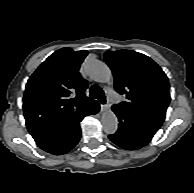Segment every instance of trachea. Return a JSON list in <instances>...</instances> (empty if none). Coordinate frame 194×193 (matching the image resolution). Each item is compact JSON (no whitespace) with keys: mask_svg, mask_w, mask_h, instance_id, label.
I'll return each instance as SVG.
<instances>
[{"mask_svg":"<svg viewBox=\"0 0 194 193\" xmlns=\"http://www.w3.org/2000/svg\"><path fill=\"white\" fill-rule=\"evenodd\" d=\"M90 97L93 99H98L102 104H105L106 99L104 91L98 85H93L90 89Z\"/></svg>","mask_w":194,"mask_h":193,"instance_id":"obj_1","label":"trachea"}]
</instances>
